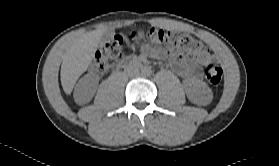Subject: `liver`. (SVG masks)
I'll use <instances>...</instances> for the list:
<instances>
[{
  "mask_svg": "<svg viewBox=\"0 0 279 166\" xmlns=\"http://www.w3.org/2000/svg\"><path fill=\"white\" fill-rule=\"evenodd\" d=\"M104 30L87 32L74 39L63 55L61 84L66 94H70L78 78L92 63Z\"/></svg>",
  "mask_w": 279,
  "mask_h": 166,
  "instance_id": "6515ba94",
  "label": "liver"
}]
</instances>
